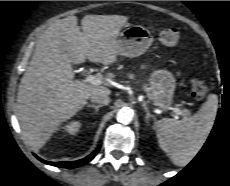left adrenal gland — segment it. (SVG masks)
<instances>
[{
    "label": "left adrenal gland",
    "instance_id": "obj_1",
    "mask_svg": "<svg viewBox=\"0 0 230 186\" xmlns=\"http://www.w3.org/2000/svg\"><path fill=\"white\" fill-rule=\"evenodd\" d=\"M142 107L144 108V110L146 112L145 119H146L147 123L149 124L151 118H153V120H154V116L149 112V109L145 103L142 104Z\"/></svg>",
    "mask_w": 230,
    "mask_h": 186
}]
</instances>
